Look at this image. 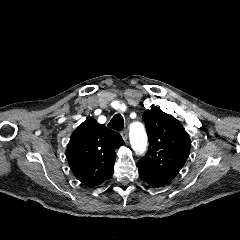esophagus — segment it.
I'll list each match as a JSON object with an SVG mask.
<instances>
[{
    "label": "esophagus",
    "instance_id": "obj_1",
    "mask_svg": "<svg viewBox=\"0 0 240 240\" xmlns=\"http://www.w3.org/2000/svg\"><path fill=\"white\" fill-rule=\"evenodd\" d=\"M121 135H122L123 140L126 142V141L128 140V130L125 129V130L121 133Z\"/></svg>",
    "mask_w": 240,
    "mask_h": 240
}]
</instances>
